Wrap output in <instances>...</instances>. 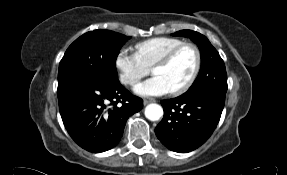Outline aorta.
Here are the masks:
<instances>
[{
    "label": "aorta",
    "mask_w": 287,
    "mask_h": 175,
    "mask_svg": "<svg viewBox=\"0 0 287 175\" xmlns=\"http://www.w3.org/2000/svg\"><path fill=\"white\" fill-rule=\"evenodd\" d=\"M145 116L151 121H157L163 116V109L160 105L152 103L146 106Z\"/></svg>",
    "instance_id": "1"
}]
</instances>
